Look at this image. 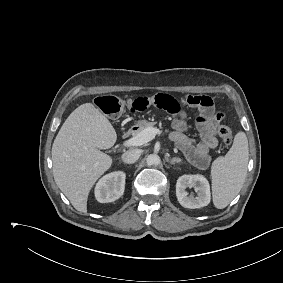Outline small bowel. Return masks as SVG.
Returning a JSON list of instances; mask_svg holds the SVG:
<instances>
[{"label": "small bowel", "instance_id": "c3829d8e", "mask_svg": "<svg viewBox=\"0 0 283 283\" xmlns=\"http://www.w3.org/2000/svg\"><path fill=\"white\" fill-rule=\"evenodd\" d=\"M149 107L162 109L172 115V141L193 165L201 169L208 167L210 163L209 151L218 145L215 128L223 118L222 113H214L211 98L206 95H188L177 100L170 95L158 93L133 100L130 112L140 113ZM187 108L198 111L196 122L201 138L199 142H195L186 134Z\"/></svg>", "mask_w": 283, "mask_h": 283}]
</instances>
